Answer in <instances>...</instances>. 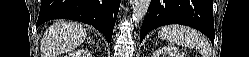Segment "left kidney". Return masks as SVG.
Instances as JSON below:
<instances>
[{
  "label": "left kidney",
  "mask_w": 249,
  "mask_h": 57,
  "mask_svg": "<svg viewBox=\"0 0 249 57\" xmlns=\"http://www.w3.org/2000/svg\"><path fill=\"white\" fill-rule=\"evenodd\" d=\"M152 57H184L175 47H161L153 52Z\"/></svg>",
  "instance_id": "left-kidney-1"
}]
</instances>
